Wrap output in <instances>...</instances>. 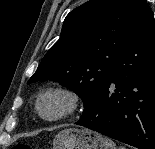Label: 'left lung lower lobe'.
Listing matches in <instances>:
<instances>
[{
    "label": "left lung lower lobe",
    "instance_id": "0a47b994",
    "mask_svg": "<svg viewBox=\"0 0 155 149\" xmlns=\"http://www.w3.org/2000/svg\"><path fill=\"white\" fill-rule=\"evenodd\" d=\"M111 83L116 86L110 94ZM75 124L139 149H155V23L147 14Z\"/></svg>",
    "mask_w": 155,
    "mask_h": 149
}]
</instances>
